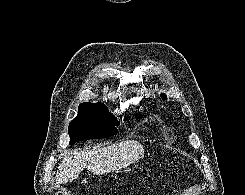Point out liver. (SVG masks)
I'll list each match as a JSON object with an SVG mask.
<instances>
[{
    "mask_svg": "<svg viewBox=\"0 0 245 195\" xmlns=\"http://www.w3.org/2000/svg\"><path fill=\"white\" fill-rule=\"evenodd\" d=\"M143 157L144 148L136 140L69 152L58 166L56 183L64 184L77 179L84 168L96 175H103L126 168Z\"/></svg>",
    "mask_w": 245,
    "mask_h": 195,
    "instance_id": "6515ba94",
    "label": "liver"
}]
</instances>
